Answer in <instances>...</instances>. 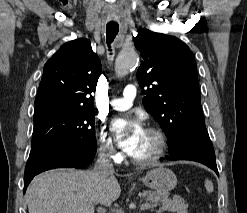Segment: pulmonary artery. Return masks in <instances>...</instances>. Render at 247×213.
<instances>
[{"label":"pulmonary artery","instance_id":"e3ab8cb5","mask_svg":"<svg viewBox=\"0 0 247 213\" xmlns=\"http://www.w3.org/2000/svg\"><path fill=\"white\" fill-rule=\"evenodd\" d=\"M136 87L134 85H127L123 91V97L114 98L110 101V106L115 110H127L132 104L136 96Z\"/></svg>","mask_w":247,"mask_h":213}]
</instances>
